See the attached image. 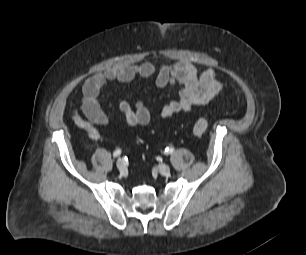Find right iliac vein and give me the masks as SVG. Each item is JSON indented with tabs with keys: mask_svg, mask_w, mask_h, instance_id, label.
I'll list each match as a JSON object with an SVG mask.
<instances>
[{
	"mask_svg": "<svg viewBox=\"0 0 306 255\" xmlns=\"http://www.w3.org/2000/svg\"><path fill=\"white\" fill-rule=\"evenodd\" d=\"M116 166L120 172H124L126 170V164L122 159L117 160Z\"/></svg>",
	"mask_w": 306,
	"mask_h": 255,
	"instance_id": "63e3f726",
	"label": "right iliac vein"
}]
</instances>
